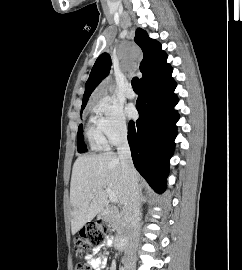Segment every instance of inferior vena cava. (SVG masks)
Segmentation results:
<instances>
[{
    "label": "inferior vena cava",
    "instance_id": "obj_1",
    "mask_svg": "<svg viewBox=\"0 0 242 270\" xmlns=\"http://www.w3.org/2000/svg\"><path fill=\"white\" fill-rule=\"evenodd\" d=\"M117 153L122 165L123 177L126 184L123 217L128 231V244L125 251L126 268H130L135 264L134 253L139 241L140 189L136 181V170L131 158L127 132H124L119 139Z\"/></svg>",
    "mask_w": 242,
    "mask_h": 270
}]
</instances>
